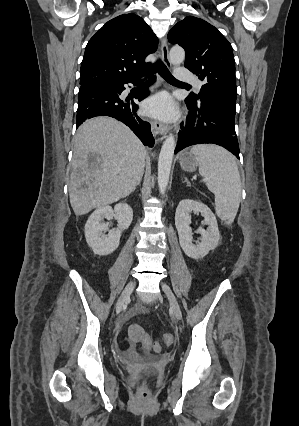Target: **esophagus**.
Wrapping results in <instances>:
<instances>
[{
    "label": "esophagus",
    "instance_id": "1",
    "mask_svg": "<svg viewBox=\"0 0 299 426\" xmlns=\"http://www.w3.org/2000/svg\"><path fill=\"white\" fill-rule=\"evenodd\" d=\"M160 49H161L162 62L167 67H171V62H170V59H169V48H168L166 38L162 39ZM152 125H153L155 133L157 135L165 136L170 131V127L166 124L161 123V122L153 121Z\"/></svg>",
    "mask_w": 299,
    "mask_h": 426
}]
</instances>
